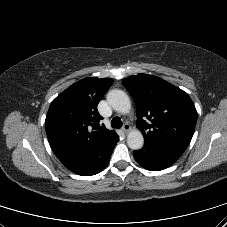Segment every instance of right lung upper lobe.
<instances>
[{
  "instance_id": "obj_1",
  "label": "right lung upper lobe",
  "mask_w": 227,
  "mask_h": 227,
  "mask_svg": "<svg viewBox=\"0 0 227 227\" xmlns=\"http://www.w3.org/2000/svg\"><path fill=\"white\" fill-rule=\"evenodd\" d=\"M111 78L82 79L51 103L45 129L49 144L62 161L77 158L117 134L99 122V101L112 85Z\"/></svg>"
}]
</instances>
